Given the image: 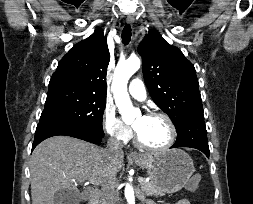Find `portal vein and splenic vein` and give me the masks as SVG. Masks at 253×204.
<instances>
[{
    "label": "portal vein and splenic vein",
    "mask_w": 253,
    "mask_h": 204,
    "mask_svg": "<svg viewBox=\"0 0 253 204\" xmlns=\"http://www.w3.org/2000/svg\"><path fill=\"white\" fill-rule=\"evenodd\" d=\"M138 181H139L140 183H143V182H144V179L140 177V178L138 179ZM87 183H91V184H94V185L100 184V182H99L98 180H96V179L91 180V181H89V182H87Z\"/></svg>",
    "instance_id": "1"
}]
</instances>
